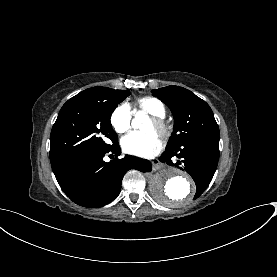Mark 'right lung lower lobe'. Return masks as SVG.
Wrapping results in <instances>:
<instances>
[{
	"label": "right lung lower lobe",
	"mask_w": 277,
	"mask_h": 277,
	"mask_svg": "<svg viewBox=\"0 0 277 277\" xmlns=\"http://www.w3.org/2000/svg\"><path fill=\"white\" fill-rule=\"evenodd\" d=\"M120 154L118 144L102 151L75 153L54 162L52 170L63 192L76 204L97 208L113 201L120 193L124 174L129 169L151 171L148 160L126 155L106 162Z\"/></svg>",
	"instance_id": "right-lung-lower-lobe-1"
}]
</instances>
